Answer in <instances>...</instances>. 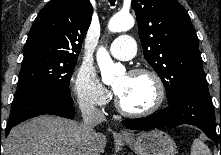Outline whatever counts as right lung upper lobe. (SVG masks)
<instances>
[{
	"label": "right lung upper lobe",
	"instance_id": "obj_1",
	"mask_svg": "<svg viewBox=\"0 0 221 155\" xmlns=\"http://www.w3.org/2000/svg\"><path fill=\"white\" fill-rule=\"evenodd\" d=\"M89 0H51L36 17L24 57L36 54L77 59L92 18Z\"/></svg>",
	"mask_w": 221,
	"mask_h": 155
}]
</instances>
